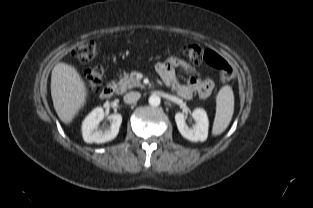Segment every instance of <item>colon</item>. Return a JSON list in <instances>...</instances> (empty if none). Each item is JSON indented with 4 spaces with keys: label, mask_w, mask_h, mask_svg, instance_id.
Masks as SVG:
<instances>
[{
    "label": "colon",
    "mask_w": 313,
    "mask_h": 208,
    "mask_svg": "<svg viewBox=\"0 0 313 208\" xmlns=\"http://www.w3.org/2000/svg\"><path fill=\"white\" fill-rule=\"evenodd\" d=\"M181 53L194 63L206 62L219 72V77L223 82L231 81L234 70L231 65L219 54L211 50H202L194 44H187L181 47ZM96 54V45L92 41L79 44L73 51L74 57L82 62H89ZM103 69L99 66L89 69L85 74L86 84L91 91H97L102 83Z\"/></svg>",
    "instance_id": "obj_1"
}]
</instances>
